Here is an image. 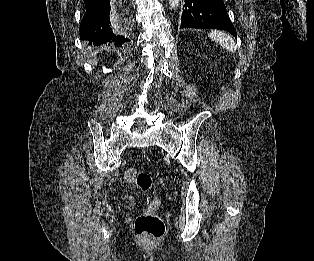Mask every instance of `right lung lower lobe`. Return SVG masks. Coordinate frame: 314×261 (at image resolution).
<instances>
[{"label": "right lung lower lobe", "instance_id": "right-lung-lower-lobe-1", "mask_svg": "<svg viewBox=\"0 0 314 261\" xmlns=\"http://www.w3.org/2000/svg\"><path fill=\"white\" fill-rule=\"evenodd\" d=\"M111 1L113 0H84L85 14L80 25L81 40H87L93 45L114 42L116 46L128 41L120 33L118 26L111 25Z\"/></svg>", "mask_w": 314, "mask_h": 261}]
</instances>
